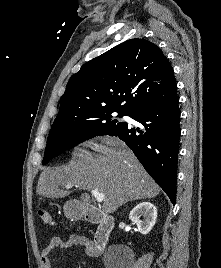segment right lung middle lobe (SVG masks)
Returning <instances> with one entry per match:
<instances>
[{"instance_id": "dd1d6c3e", "label": "right lung middle lobe", "mask_w": 221, "mask_h": 268, "mask_svg": "<svg viewBox=\"0 0 221 268\" xmlns=\"http://www.w3.org/2000/svg\"><path fill=\"white\" fill-rule=\"evenodd\" d=\"M101 111L69 118H56L53 122L45 149L43 164L81 142L99 135H107L113 129L123 126V113Z\"/></svg>"}]
</instances>
